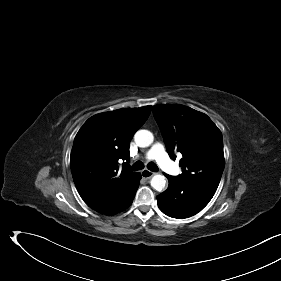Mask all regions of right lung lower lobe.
I'll return each instance as SVG.
<instances>
[{
    "label": "right lung lower lobe",
    "instance_id": "98d812e1",
    "mask_svg": "<svg viewBox=\"0 0 281 281\" xmlns=\"http://www.w3.org/2000/svg\"><path fill=\"white\" fill-rule=\"evenodd\" d=\"M140 179H141V174H139V176H138V178H137V180H136L135 187H134V189H133L132 195L129 197V199L127 200V202L123 205V207H122V208L120 209V211H118V212L123 211L124 209H126L128 206L131 205V203H132V201H133V199H134V197H135V193H136V191H137V189H138V186H139V183H140ZM118 212H117V213H118Z\"/></svg>",
    "mask_w": 281,
    "mask_h": 281
}]
</instances>
